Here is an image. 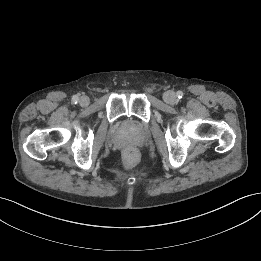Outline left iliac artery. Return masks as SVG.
I'll return each instance as SVG.
<instances>
[{
  "instance_id": "1",
  "label": "left iliac artery",
  "mask_w": 261,
  "mask_h": 261,
  "mask_svg": "<svg viewBox=\"0 0 261 261\" xmlns=\"http://www.w3.org/2000/svg\"><path fill=\"white\" fill-rule=\"evenodd\" d=\"M177 97H178L179 99H181V98L183 97V92H182V91H178V92H177Z\"/></svg>"
}]
</instances>
